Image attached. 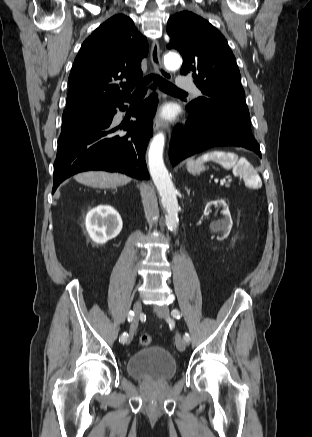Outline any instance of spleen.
Here are the masks:
<instances>
[{
	"label": "spleen",
	"instance_id": "1",
	"mask_svg": "<svg viewBox=\"0 0 312 437\" xmlns=\"http://www.w3.org/2000/svg\"><path fill=\"white\" fill-rule=\"evenodd\" d=\"M213 160L219 163L225 169H233V173L242 175L253 188L261 186L260 177L251 168L249 162L244 159H238V156L232 152L213 151L203 154L198 161Z\"/></svg>",
	"mask_w": 312,
	"mask_h": 437
}]
</instances>
